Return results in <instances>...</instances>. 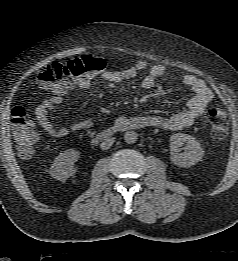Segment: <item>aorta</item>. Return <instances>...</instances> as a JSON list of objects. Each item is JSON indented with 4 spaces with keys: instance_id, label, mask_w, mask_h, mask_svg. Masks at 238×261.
Segmentation results:
<instances>
[{
    "instance_id": "1",
    "label": "aorta",
    "mask_w": 238,
    "mask_h": 261,
    "mask_svg": "<svg viewBox=\"0 0 238 261\" xmlns=\"http://www.w3.org/2000/svg\"><path fill=\"white\" fill-rule=\"evenodd\" d=\"M138 139V134L135 131H127L124 134V140L127 144H134Z\"/></svg>"
}]
</instances>
